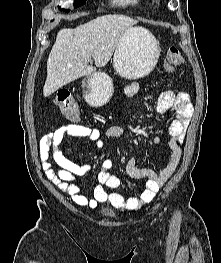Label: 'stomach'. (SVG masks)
I'll list each match as a JSON object with an SVG mask.
<instances>
[{
    "instance_id": "stomach-1",
    "label": "stomach",
    "mask_w": 221,
    "mask_h": 263,
    "mask_svg": "<svg viewBox=\"0 0 221 263\" xmlns=\"http://www.w3.org/2000/svg\"><path fill=\"white\" fill-rule=\"evenodd\" d=\"M160 47L154 36L142 27H134L124 33L114 56L116 72L126 79H140L147 76L156 66ZM84 97L93 107L105 105L114 88L112 79L104 72H94L83 84Z\"/></svg>"
}]
</instances>
